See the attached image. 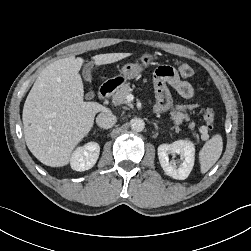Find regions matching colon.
I'll use <instances>...</instances> for the list:
<instances>
[{"instance_id": "colon-1", "label": "colon", "mask_w": 251, "mask_h": 251, "mask_svg": "<svg viewBox=\"0 0 251 251\" xmlns=\"http://www.w3.org/2000/svg\"><path fill=\"white\" fill-rule=\"evenodd\" d=\"M176 71L180 76L184 78L191 77L194 74V70L189 64L180 61L176 62ZM214 118L215 115L213 109L210 107L206 108L204 111V121L206 123L207 128L210 130L214 126Z\"/></svg>"}]
</instances>
